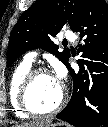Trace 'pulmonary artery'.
Wrapping results in <instances>:
<instances>
[{"instance_id":"pulmonary-artery-1","label":"pulmonary artery","mask_w":108,"mask_h":127,"mask_svg":"<svg viewBox=\"0 0 108 127\" xmlns=\"http://www.w3.org/2000/svg\"><path fill=\"white\" fill-rule=\"evenodd\" d=\"M64 37L70 41H74L76 39L75 34L70 31L65 32ZM36 56H37L36 51L28 52L24 57V61L32 64L35 61Z\"/></svg>"}]
</instances>
